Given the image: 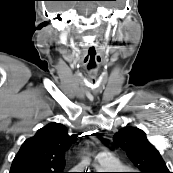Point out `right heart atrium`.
Masks as SVG:
<instances>
[{"mask_svg": "<svg viewBox=\"0 0 173 173\" xmlns=\"http://www.w3.org/2000/svg\"><path fill=\"white\" fill-rule=\"evenodd\" d=\"M73 169H74L73 173H81L80 170H79L80 169L79 166L73 167Z\"/></svg>", "mask_w": 173, "mask_h": 173, "instance_id": "d8ad5b80", "label": "right heart atrium"}]
</instances>
